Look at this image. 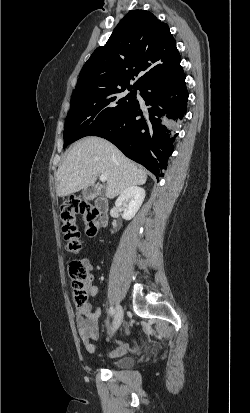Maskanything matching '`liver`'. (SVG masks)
<instances>
[{"label": "liver", "mask_w": 250, "mask_h": 413, "mask_svg": "<svg viewBox=\"0 0 250 413\" xmlns=\"http://www.w3.org/2000/svg\"><path fill=\"white\" fill-rule=\"evenodd\" d=\"M99 175L107 176L106 197L110 199L147 180V172L138 168L113 144L90 136L79 140L58 168L57 195L65 197L92 186Z\"/></svg>", "instance_id": "1"}]
</instances>
